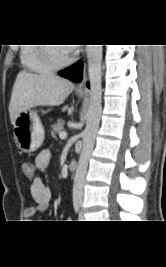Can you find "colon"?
Instances as JSON below:
<instances>
[{
	"mask_svg": "<svg viewBox=\"0 0 166 267\" xmlns=\"http://www.w3.org/2000/svg\"><path fill=\"white\" fill-rule=\"evenodd\" d=\"M23 178H34L33 165L30 163L23 164Z\"/></svg>",
	"mask_w": 166,
	"mask_h": 267,
	"instance_id": "colon-1",
	"label": "colon"
}]
</instances>
